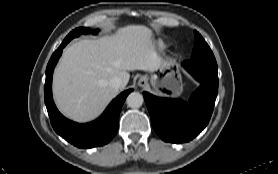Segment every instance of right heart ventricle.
<instances>
[{
  "mask_svg": "<svg viewBox=\"0 0 278 174\" xmlns=\"http://www.w3.org/2000/svg\"><path fill=\"white\" fill-rule=\"evenodd\" d=\"M159 47H160V48H164L165 45H164L163 43L160 42V43H159Z\"/></svg>",
  "mask_w": 278,
  "mask_h": 174,
  "instance_id": "right-heart-ventricle-1",
  "label": "right heart ventricle"
}]
</instances>
